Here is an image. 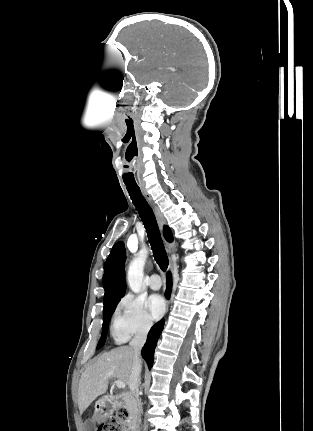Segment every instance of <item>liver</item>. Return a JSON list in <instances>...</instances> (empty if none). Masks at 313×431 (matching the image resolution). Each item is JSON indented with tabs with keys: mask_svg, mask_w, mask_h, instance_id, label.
<instances>
[{
	"mask_svg": "<svg viewBox=\"0 0 313 431\" xmlns=\"http://www.w3.org/2000/svg\"><path fill=\"white\" fill-rule=\"evenodd\" d=\"M133 352L120 346L103 353L83 372L78 387V407L83 413L98 397L106 393L111 378L129 384Z\"/></svg>",
	"mask_w": 313,
	"mask_h": 431,
	"instance_id": "liver-1",
	"label": "liver"
}]
</instances>
